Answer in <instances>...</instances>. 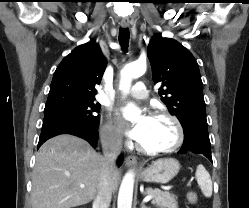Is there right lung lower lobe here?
Wrapping results in <instances>:
<instances>
[{
	"label": "right lung lower lobe",
	"instance_id": "98d812e1",
	"mask_svg": "<svg viewBox=\"0 0 249 208\" xmlns=\"http://www.w3.org/2000/svg\"><path fill=\"white\" fill-rule=\"evenodd\" d=\"M98 125L84 124L82 122L58 117H44L38 148L48 139L59 134H72L88 141L92 146L97 143ZM123 157L120 156L118 164L121 165Z\"/></svg>",
	"mask_w": 249,
	"mask_h": 208
}]
</instances>
